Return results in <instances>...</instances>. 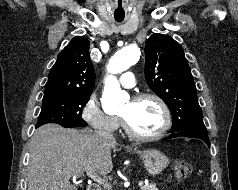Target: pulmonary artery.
<instances>
[{
  "mask_svg": "<svg viewBox=\"0 0 238 190\" xmlns=\"http://www.w3.org/2000/svg\"><path fill=\"white\" fill-rule=\"evenodd\" d=\"M135 83V76L130 71L123 73L120 77V84L124 88H132L135 86Z\"/></svg>",
  "mask_w": 238,
  "mask_h": 190,
  "instance_id": "pulmonary-artery-1",
  "label": "pulmonary artery"
}]
</instances>
